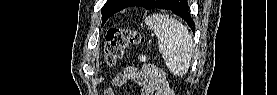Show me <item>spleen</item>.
Returning a JSON list of instances; mask_svg holds the SVG:
<instances>
[{
    "label": "spleen",
    "mask_w": 277,
    "mask_h": 95,
    "mask_svg": "<svg viewBox=\"0 0 277 95\" xmlns=\"http://www.w3.org/2000/svg\"><path fill=\"white\" fill-rule=\"evenodd\" d=\"M158 39L159 52L167 68L183 76L191 64L194 43L187 28L176 19L164 14H154L145 19Z\"/></svg>",
    "instance_id": "spleen-1"
}]
</instances>
